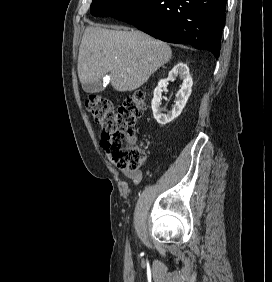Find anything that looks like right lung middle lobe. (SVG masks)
<instances>
[{"instance_id": "right-lung-middle-lobe-1", "label": "right lung middle lobe", "mask_w": 272, "mask_h": 282, "mask_svg": "<svg viewBox=\"0 0 272 282\" xmlns=\"http://www.w3.org/2000/svg\"><path fill=\"white\" fill-rule=\"evenodd\" d=\"M138 0H93L91 14L94 16H107L132 5Z\"/></svg>"}]
</instances>
